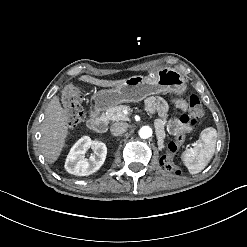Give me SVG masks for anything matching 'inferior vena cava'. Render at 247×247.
I'll return each instance as SVG.
<instances>
[{
  "label": "inferior vena cava",
  "instance_id": "inferior-vena-cava-1",
  "mask_svg": "<svg viewBox=\"0 0 247 247\" xmlns=\"http://www.w3.org/2000/svg\"><path fill=\"white\" fill-rule=\"evenodd\" d=\"M128 124L125 122L113 123L110 127V131L114 136L122 135L127 131Z\"/></svg>",
  "mask_w": 247,
  "mask_h": 247
}]
</instances>
